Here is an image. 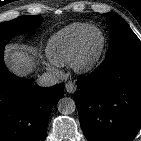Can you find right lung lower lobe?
<instances>
[{"label": "right lung lower lobe", "instance_id": "1", "mask_svg": "<svg viewBox=\"0 0 141 141\" xmlns=\"http://www.w3.org/2000/svg\"><path fill=\"white\" fill-rule=\"evenodd\" d=\"M0 47V141H44L51 107L64 84L43 88L12 75Z\"/></svg>", "mask_w": 141, "mask_h": 141}]
</instances>
